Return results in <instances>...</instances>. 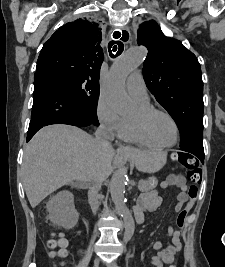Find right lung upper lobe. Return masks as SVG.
<instances>
[{"mask_svg":"<svg viewBox=\"0 0 225 267\" xmlns=\"http://www.w3.org/2000/svg\"><path fill=\"white\" fill-rule=\"evenodd\" d=\"M101 40L97 23L81 19L69 22L43 45L36 72L78 76L99 85L104 57Z\"/></svg>","mask_w":225,"mask_h":267,"instance_id":"right-lung-upper-lobe-1","label":"right lung upper lobe"}]
</instances>
